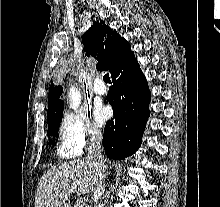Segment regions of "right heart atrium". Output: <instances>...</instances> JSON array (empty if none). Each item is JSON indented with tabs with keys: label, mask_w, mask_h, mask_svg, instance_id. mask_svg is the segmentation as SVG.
<instances>
[{
	"label": "right heart atrium",
	"mask_w": 220,
	"mask_h": 207,
	"mask_svg": "<svg viewBox=\"0 0 220 207\" xmlns=\"http://www.w3.org/2000/svg\"><path fill=\"white\" fill-rule=\"evenodd\" d=\"M59 139L63 147L82 154L100 142L101 133L92 125L86 114L71 112L61 119Z\"/></svg>",
	"instance_id": "obj_1"
}]
</instances>
